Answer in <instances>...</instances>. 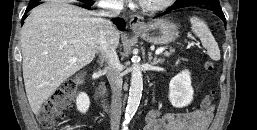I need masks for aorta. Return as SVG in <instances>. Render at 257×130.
<instances>
[{"mask_svg": "<svg viewBox=\"0 0 257 130\" xmlns=\"http://www.w3.org/2000/svg\"><path fill=\"white\" fill-rule=\"evenodd\" d=\"M143 90V76L139 63L136 58H133V65L131 69V84L129 90V97L127 107L125 111V121L123 122V128H127V124L136 113L140 104Z\"/></svg>", "mask_w": 257, "mask_h": 130, "instance_id": "1", "label": "aorta"}]
</instances>
